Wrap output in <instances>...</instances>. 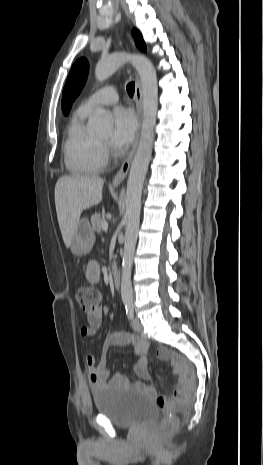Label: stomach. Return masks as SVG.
<instances>
[{
  "label": "stomach",
  "mask_w": 263,
  "mask_h": 465,
  "mask_svg": "<svg viewBox=\"0 0 263 465\" xmlns=\"http://www.w3.org/2000/svg\"><path fill=\"white\" fill-rule=\"evenodd\" d=\"M95 242L94 231L89 220L82 218L78 221L71 240V252L76 256L88 254Z\"/></svg>",
  "instance_id": "stomach-1"
}]
</instances>
